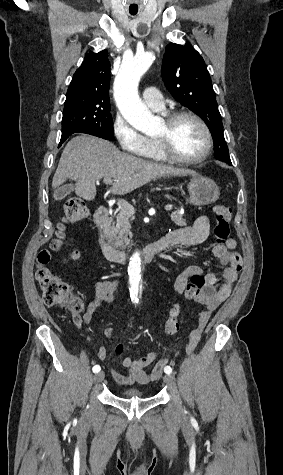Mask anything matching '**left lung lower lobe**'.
<instances>
[{
  "instance_id": "left-lung-lower-lobe-1",
  "label": "left lung lower lobe",
  "mask_w": 283,
  "mask_h": 475,
  "mask_svg": "<svg viewBox=\"0 0 283 475\" xmlns=\"http://www.w3.org/2000/svg\"><path fill=\"white\" fill-rule=\"evenodd\" d=\"M213 141H214V155L215 157L223 162H226L229 165H232L230 157H229V152H228V147L226 145L224 135L223 134H217V135H212Z\"/></svg>"
}]
</instances>
